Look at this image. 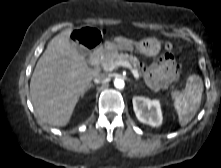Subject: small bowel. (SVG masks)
<instances>
[{
	"instance_id": "small-bowel-1",
	"label": "small bowel",
	"mask_w": 221,
	"mask_h": 168,
	"mask_svg": "<svg viewBox=\"0 0 221 168\" xmlns=\"http://www.w3.org/2000/svg\"><path fill=\"white\" fill-rule=\"evenodd\" d=\"M179 68L177 56L174 53H165L144 71L151 87L165 88L178 79Z\"/></svg>"
}]
</instances>
